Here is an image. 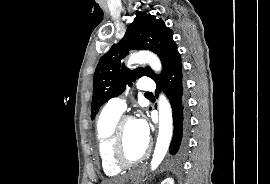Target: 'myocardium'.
<instances>
[{
  "label": "myocardium",
  "instance_id": "f54148a6",
  "mask_svg": "<svg viewBox=\"0 0 270 184\" xmlns=\"http://www.w3.org/2000/svg\"><path fill=\"white\" fill-rule=\"evenodd\" d=\"M129 121H135L133 116L125 115L118 119L111 141V159L112 162L120 167L127 168L136 165L146 159L151 152V142L148 140L145 151L135 159H129L124 154V126Z\"/></svg>",
  "mask_w": 270,
  "mask_h": 184
}]
</instances>
